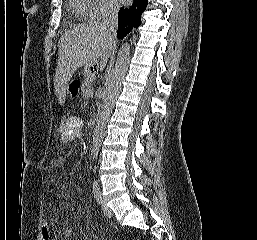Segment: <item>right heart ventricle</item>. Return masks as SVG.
Returning a JSON list of instances; mask_svg holds the SVG:
<instances>
[{"mask_svg":"<svg viewBox=\"0 0 257 240\" xmlns=\"http://www.w3.org/2000/svg\"><path fill=\"white\" fill-rule=\"evenodd\" d=\"M69 9L80 19L89 18L91 0H68Z\"/></svg>","mask_w":257,"mask_h":240,"instance_id":"obj_1","label":"right heart ventricle"}]
</instances>
